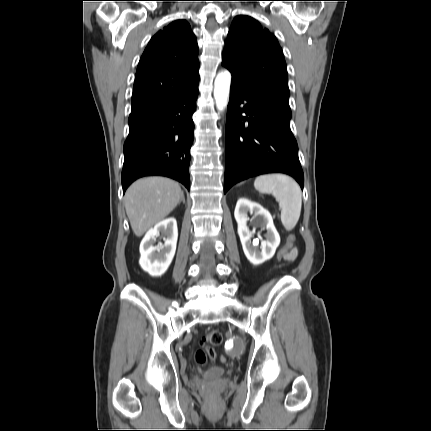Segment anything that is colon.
<instances>
[{
    "instance_id": "colon-1",
    "label": "colon",
    "mask_w": 431,
    "mask_h": 431,
    "mask_svg": "<svg viewBox=\"0 0 431 431\" xmlns=\"http://www.w3.org/2000/svg\"><path fill=\"white\" fill-rule=\"evenodd\" d=\"M295 241H296V237L294 235H290L287 238V242H286V245L283 248V250L278 249L276 251V255L274 257L275 260L278 262L283 261V254L287 253V248H292V247H290V242H295ZM222 341H223V336L219 330H217V329L210 330L205 336V342L201 344L199 350L196 353V361L199 364H204L206 362L207 358H210V359H212V363H215L216 362V359H215L216 352H215V349L213 347L221 345ZM221 362L226 363V355L225 354H222Z\"/></svg>"
}]
</instances>
